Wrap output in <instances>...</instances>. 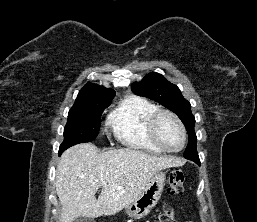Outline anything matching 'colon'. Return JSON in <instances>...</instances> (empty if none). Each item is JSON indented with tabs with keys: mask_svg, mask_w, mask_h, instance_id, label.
Segmentation results:
<instances>
[{
	"mask_svg": "<svg viewBox=\"0 0 257 222\" xmlns=\"http://www.w3.org/2000/svg\"><path fill=\"white\" fill-rule=\"evenodd\" d=\"M185 173L182 169H174L168 177L167 193L171 197H179L184 192ZM157 222H177V217L171 207H167L159 215Z\"/></svg>",
	"mask_w": 257,
	"mask_h": 222,
	"instance_id": "colon-1",
	"label": "colon"
}]
</instances>
